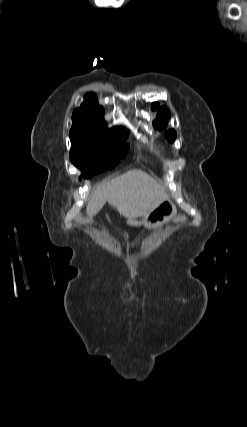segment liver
<instances>
[{"instance_id":"liver-1","label":"liver","mask_w":247,"mask_h":427,"mask_svg":"<svg viewBox=\"0 0 247 427\" xmlns=\"http://www.w3.org/2000/svg\"><path fill=\"white\" fill-rule=\"evenodd\" d=\"M168 199L165 188L142 170L133 169L95 187L87 203V215H96L108 202L125 218L146 216Z\"/></svg>"}]
</instances>
